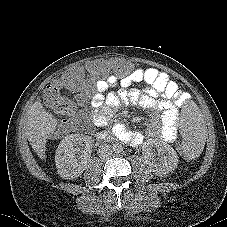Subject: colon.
Instances as JSON below:
<instances>
[{
  "mask_svg": "<svg viewBox=\"0 0 227 227\" xmlns=\"http://www.w3.org/2000/svg\"><path fill=\"white\" fill-rule=\"evenodd\" d=\"M87 70L95 76L101 75L106 70L109 72H131L133 70V63L131 61L122 62L120 60H96L87 66ZM84 84L85 70L81 67L74 68L45 88L42 95L43 102L57 113L73 116L76 112V106L70 99L62 95V90H79ZM83 121L82 117L77 118L75 119V125L82 127ZM175 149L178 150L177 155L180 159L185 162L193 161V156L182 148L181 142L175 143Z\"/></svg>",
  "mask_w": 227,
  "mask_h": 227,
  "instance_id": "1",
  "label": "colon"
}]
</instances>
